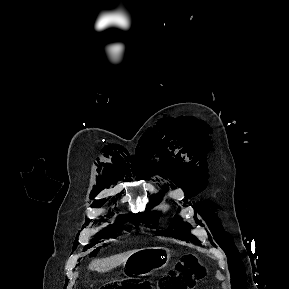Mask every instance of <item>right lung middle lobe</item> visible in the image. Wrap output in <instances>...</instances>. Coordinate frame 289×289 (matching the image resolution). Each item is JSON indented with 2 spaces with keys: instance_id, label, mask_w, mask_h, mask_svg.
I'll return each instance as SVG.
<instances>
[{
  "instance_id": "1",
  "label": "right lung middle lobe",
  "mask_w": 289,
  "mask_h": 289,
  "mask_svg": "<svg viewBox=\"0 0 289 289\" xmlns=\"http://www.w3.org/2000/svg\"><path fill=\"white\" fill-rule=\"evenodd\" d=\"M141 216L142 215H140V214H132V213L119 216L116 223H114L113 225H110L108 228L101 231L98 234V236H96V238H94V240H98V241L92 242L91 245L86 246L85 250L94 246L95 244L99 243L100 242L99 240H101V239L115 236L117 234V232H120L122 230L123 224L125 222H129L134 226H138L139 223L141 222ZM127 230H129V229H127Z\"/></svg>"
}]
</instances>
